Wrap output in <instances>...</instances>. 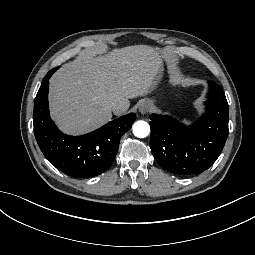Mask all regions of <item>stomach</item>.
Masks as SVG:
<instances>
[{
  "label": "stomach",
  "mask_w": 255,
  "mask_h": 255,
  "mask_svg": "<svg viewBox=\"0 0 255 255\" xmlns=\"http://www.w3.org/2000/svg\"><path fill=\"white\" fill-rule=\"evenodd\" d=\"M147 100L150 102L151 107H152V105H153V100H151V99H147Z\"/></svg>",
  "instance_id": "0dacf381"
}]
</instances>
